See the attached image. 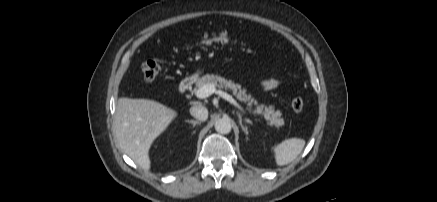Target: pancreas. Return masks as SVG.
I'll return each mask as SVG.
<instances>
[{
	"label": "pancreas",
	"instance_id": "pancreas-1",
	"mask_svg": "<svg viewBox=\"0 0 437 202\" xmlns=\"http://www.w3.org/2000/svg\"><path fill=\"white\" fill-rule=\"evenodd\" d=\"M207 84H211L214 87L231 90L233 95L236 96L237 99L248 104L249 111H251L255 115L263 116L266 119L268 125L275 126L278 129L284 125V119L281 118L282 113L280 110L275 111V107L272 105H258V102L254 98H252L250 94H247V90L245 88H242L241 85L235 84L232 80H227L221 76L214 74H207L202 76L196 81V86L193 92L196 93L199 88ZM252 105H256V108L254 110H252Z\"/></svg>",
	"mask_w": 437,
	"mask_h": 202
}]
</instances>
